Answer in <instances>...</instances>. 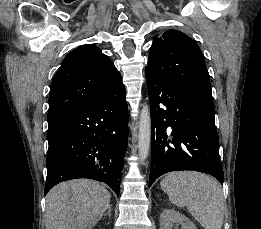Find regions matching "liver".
Here are the masks:
<instances>
[{
	"label": "liver",
	"mask_w": 261,
	"mask_h": 229,
	"mask_svg": "<svg viewBox=\"0 0 261 229\" xmlns=\"http://www.w3.org/2000/svg\"><path fill=\"white\" fill-rule=\"evenodd\" d=\"M110 199L109 191L91 179L59 183L46 197L45 229H93Z\"/></svg>",
	"instance_id": "1"
}]
</instances>
